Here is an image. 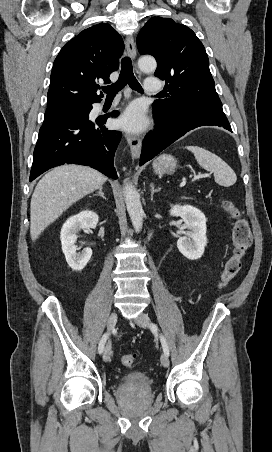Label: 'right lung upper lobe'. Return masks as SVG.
I'll return each mask as SVG.
<instances>
[{"instance_id":"obj_1","label":"right lung upper lobe","mask_w":272,"mask_h":452,"mask_svg":"<svg viewBox=\"0 0 272 452\" xmlns=\"http://www.w3.org/2000/svg\"><path fill=\"white\" fill-rule=\"evenodd\" d=\"M124 43L109 24L83 30L67 42L56 57L47 95V115H58L99 102L98 80L109 83L119 67Z\"/></svg>"}]
</instances>
